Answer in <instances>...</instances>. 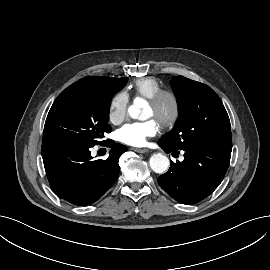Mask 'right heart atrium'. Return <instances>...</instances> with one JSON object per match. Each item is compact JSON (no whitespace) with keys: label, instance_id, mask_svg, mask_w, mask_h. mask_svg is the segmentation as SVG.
<instances>
[{"label":"right heart atrium","instance_id":"right-heart-atrium-1","mask_svg":"<svg viewBox=\"0 0 270 270\" xmlns=\"http://www.w3.org/2000/svg\"><path fill=\"white\" fill-rule=\"evenodd\" d=\"M129 97L125 91L117 92L110 100L108 119L113 124L121 123L127 116Z\"/></svg>","mask_w":270,"mask_h":270}]
</instances>
